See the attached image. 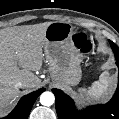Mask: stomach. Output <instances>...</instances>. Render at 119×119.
I'll list each match as a JSON object with an SVG mask.
<instances>
[{"label":"stomach","mask_w":119,"mask_h":119,"mask_svg":"<svg viewBox=\"0 0 119 119\" xmlns=\"http://www.w3.org/2000/svg\"><path fill=\"white\" fill-rule=\"evenodd\" d=\"M74 35V27L69 22L55 21L47 27L44 36L51 77L66 86L78 84L82 76V55L75 45Z\"/></svg>","instance_id":"1"}]
</instances>
